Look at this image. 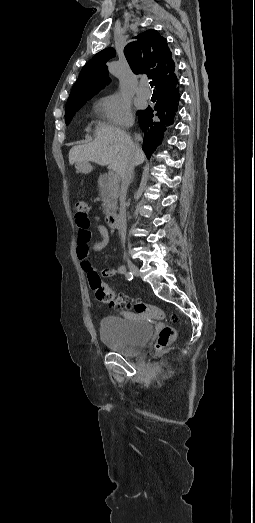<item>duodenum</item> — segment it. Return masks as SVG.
Returning <instances> with one entry per match:
<instances>
[{
	"label": "duodenum",
	"mask_w": 255,
	"mask_h": 523,
	"mask_svg": "<svg viewBox=\"0 0 255 523\" xmlns=\"http://www.w3.org/2000/svg\"><path fill=\"white\" fill-rule=\"evenodd\" d=\"M106 222L107 224L112 227V228H118L119 225H120V218L118 216V214L116 213H111V214H108L107 217H106Z\"/></svg>",
	"instance_id": "410a0bca"
}]
</instances>
